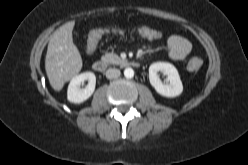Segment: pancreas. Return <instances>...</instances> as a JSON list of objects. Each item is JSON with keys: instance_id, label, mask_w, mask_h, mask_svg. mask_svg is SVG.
I'll return each mask as SVG.
<instances>
[{"instance_id": "pancreas-1", "label": "pancreas", "mask_w": 248, "mask_h": 165, "mask_svg": "<svg viewBox=\"0 0 248 165\" xmlns=\"http://www.w3.org/2000/svg\"><path fill=\"white\" fill-rule=\"evenodd\" d=\"M101 59L106 63L111 64H122L124 60H122L117 54L111 52V53H105Z\"/></svg>"}]
</instances>
